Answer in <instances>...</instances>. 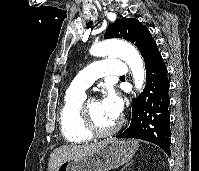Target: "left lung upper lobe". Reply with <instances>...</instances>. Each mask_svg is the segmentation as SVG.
<instances>
[{
    "label": "left lung upper lobe",
    "mask_w": 199,
    "mask_h": 171,
    "mask_svg": "<svg viewBox=\"0 0 199 171\" xmlns=\"http://www.w3.org/2000/svg\"><path fill=\"white\" fill-rule=\"evenodd\" d=\"M104 38H123L132 42L140 52L154 39L149 30L136 19H117L110 24Z\"/></svg>",
    "instance_id": "left-lung-upper-lobe-1"
}]
</instances>
